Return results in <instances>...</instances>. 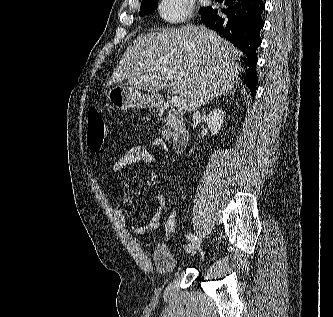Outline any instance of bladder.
Here are the masks:
<instances>
[{
    "instance_id": "bladder-1",
    "label": "bladder",
    "mask_w": 333,
    "mask_h": 317,
    "mask_svg": "<svg viewBox=\"0 0 333 317\" xmlns=\"http://www.w3.org/2000/svg\"><path fill=\"white\" fill-rule=\"evenodd\" d=\"M156 270L163 275H170L177 270V261L171 250L165 245H157L152 252Z\"/></svg>"
}]
</instances>
